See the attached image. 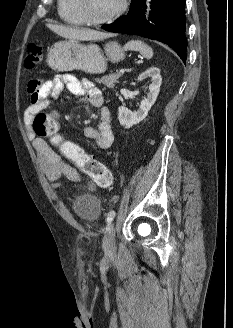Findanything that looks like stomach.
Segmentation results:
<instances>
[{
    "instance_id": "0dacf381",
    "label": "stomach",
    "mask_w": 233,
    "mask_h": 328,
    "mask_svg": "<svg viewBox=\"0 0 233 328\" xmlns=\"http://www.w3.org/2000/svg\"><path fill=\"white\" fill-rule=\"evenodd\" d=\"M125 57L121 46L115 42L104 45V52L94 44L79 41H60L48 51L47 63L55 71L67 72L82 70L86 73H104L107 61L119 62Z\"/></svg>"
}]
</instances>
